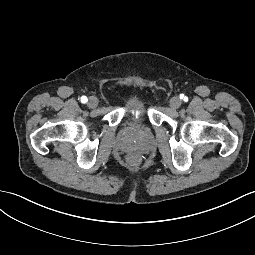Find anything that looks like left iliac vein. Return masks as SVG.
<instances>
[{"instance_id":"left-iliac-vein-1","label":"left iliac vein","mask_w":255,"mask_h":255,"mask_svg":"<svg viewBox=\"0 0 255 255\" xmlns=\"http://www.w3.org/2000/svg\"><path fill=\"white\" fill-rule=\"evenodd\" d=\"M181 104H182V102H181L180 98H178V97H173L170 100V106L173 109H178L181 106Z\"/></svg>"}]
</instances>
